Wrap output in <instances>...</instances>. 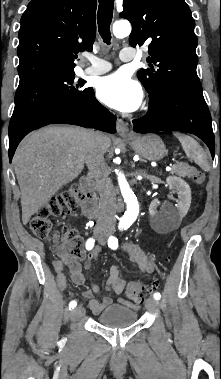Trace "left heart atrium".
<instances>
[{"label": "left heart atrium", "instance_id": "left-heart-atrium-1", "mask_svg": "<svg viewBox=\"0 0 221 379\" xmlns=\"http://www.w3.org/2000/svg\"><path fill=\"white\" fill-rule=\"evenodd\" d=\"M97 97L105 105L121 112L136 110L143 98L138 82L123 72L102 78L97 85Z\"/></svg>", "mask_w": 221, "mask_h": 379}]
</instances>
